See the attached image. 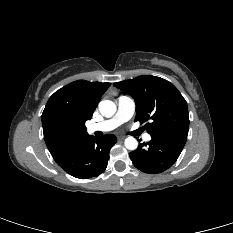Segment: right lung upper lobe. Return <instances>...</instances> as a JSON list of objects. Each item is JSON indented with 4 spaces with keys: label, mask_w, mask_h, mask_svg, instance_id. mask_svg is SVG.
<instances>
[{
    "label": "right lung upper lobe",
    "mask_w": 233,
    "mask_h": 233,
    "mask_svg": "<svg viewBox=\"0 0 233 233\" xmlns=\"http://www.w3.org/2000/svg\"><path fill=\"white\" fill-rule=\"evenodd\" d=\"M110 85L78 80L49 98L41 119L45 142L55 161L91 137L86 132L85 122L91 119L99 99Z\"/></svg>",
    "instance_id": "1"
}]
</instances>
